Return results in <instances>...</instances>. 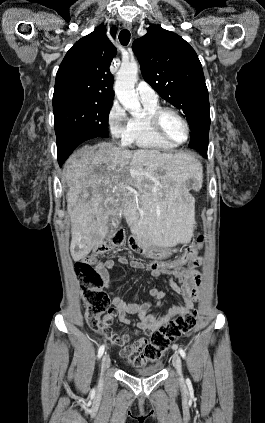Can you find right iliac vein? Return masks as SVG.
I'll use <instances>...</instances> for the list:
<instances>
[{"instance_id":"63e3f726","label":"right iliac vein","mask_w":265,"mask_h":423,"mask_svg":"<svg viewBox=\"0 0 265 423\" xmlns=\"http://www.w3.org/2000/svg\"><path fill=\"white\" fill-rule=\"evenodd\" d=\"M110 367V357L108 354H105L102 358V362H101V370L102 373H104L106 370H108V368Z\"/></svg>"}]
</instances>
